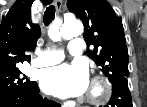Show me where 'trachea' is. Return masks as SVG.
<instances>
[{"instance_id":"3493384b","label":"trachea","mask_w":147,"mask_h":107,"mask_svg":"<svg viewBox=\"0 0 147 107\" xmlns=\"http://www.w3.org/2000/svg\"><path fill=\"white\" fill-rule=\"evenodd\" d=\"M55 17V7L53 5H50L46 8V11L44 13L43 23L45 26H48L51 24L52 20Z\"/></svg>"}]
</instances>
